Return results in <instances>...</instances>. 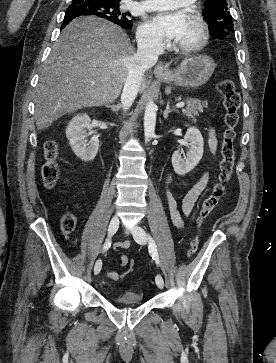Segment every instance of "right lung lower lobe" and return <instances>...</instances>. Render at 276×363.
<instances>
[{
	"mask_svg": "<svg viewBox=\"0 0 276 363\" xmlns=\"http://www.w3.org/2000/svg\"><path fill=\"white\" fill-rule=\"evenodd\" d=\"M81 15H90V14L87 13V12H84V11L74 12V13H71V14H65L64 21L62 23L61 29L64 28L67 24H69L70 21L73 20L75 17L81 16ZM131 27H132V24L128 25V26H124L122 28L131 29Z\"/></svg>",
	"mask_w": 276,
	"mask_h": 363,
	"instance_id": "obj_1",
	"label": "right lung lower lobe"
}]
</instances>
